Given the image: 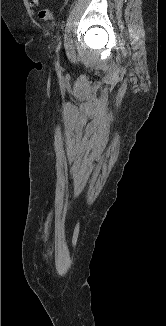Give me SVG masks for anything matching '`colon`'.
Segmentation results:
<instances>
[{
  "instance_id": "5ec220e1",
  "label": "colon",
  "mask_w": 166,
  "mask_h": 326,
  "mask_svg": "<svg viewBox=\"0 0 166 326\" xmlns=\"http://www.w3.org/2000/svg\"><path fill=\"white\" fill-rule=\"evenodd\" d=\"M38 16L41 20H52L53 12L48 8H41L39 10Z\"/></svg>"
}]
</instances>
